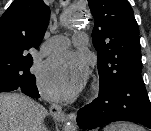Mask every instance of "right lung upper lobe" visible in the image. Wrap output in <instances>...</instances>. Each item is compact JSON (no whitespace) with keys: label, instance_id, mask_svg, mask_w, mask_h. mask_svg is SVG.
<instances>
[{"label":"right lung upper lobe","instance_id":"1","mask_svg":"<svg viewBox=\"0 0 151 131\" xmlns=\"http://www.w3.org/2000/svg\"><path fill=\"white\" fill-rule=\"evenodd\" d=\"M50 16L43 0H15L0 18V54L28 53L39 47Z\"/></svg>","mask_w":151,"mask_h":131}]
</instances>
